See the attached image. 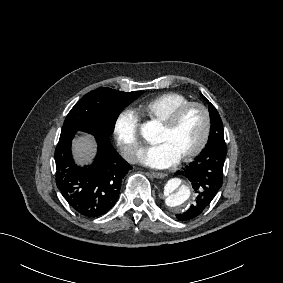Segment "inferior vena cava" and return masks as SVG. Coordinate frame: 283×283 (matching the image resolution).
<instances>
[{
    "mask_svg": "<svg viewBox=\"0 0 283 283\" xmlns=\"http://www.w3.org/2000/svg\"><path fill=\"white\" fill-rule=\"evenodd\" d=\"M132 162H136V157H134V160Z\"/></svg>",
    "mask_w": 283,
    "mask_h": 283,
    "instance_id": "602c4592",
    "label": "inferior vena cava"
}]
</instances>
